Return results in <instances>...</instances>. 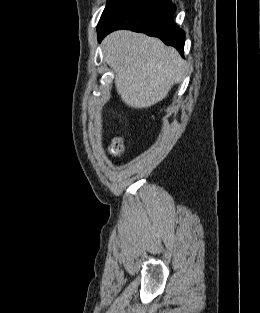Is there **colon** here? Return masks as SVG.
I'll return each instance as SVG.
<instances>
[{
	"label": "colon",
	"mask_w": 260,
	"mask_h": 313,
	"mask_svg": "<svg viewBox=\"0 0 260 313\" xmlns=\"http://www.w3.org/2000/svg\"><path fill=\"white\" fill-rule=\"evenodd\" d=\"M123 142L121 138H115L111 144L110 151L114 155H119L123 152Z\"/></svg>",
	"instance_id": "colon-1"
}]
</instances>
